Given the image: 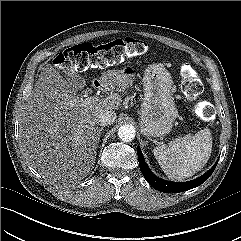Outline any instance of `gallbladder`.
I'll return each mask as SVG.
<instances>
[{"mask_svg": "<svg viewBox=\"0 0 241 241\" xmlns=\"http://www.w3.org/2000/svg\"><path fill=\"white\" fill-rule=\"evenodd\" d=\"M73 81L77 83L79 89H82L83 86L85 85V80L83 77L77 75V74H74V78H73Z\"/></svg>", "mask_w": 241, "mask_h": 241, "instance_id": "bac80fb5", "label": "gallbladder"}]
</instances>
